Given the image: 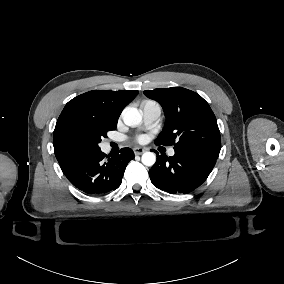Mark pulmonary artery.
I'll return each instance as SVG.
<instances>
[{"label":"pulmonary artery","instance_id":"e3ab8cb5","mask_svg":"<svg viewBox=\"0 0 284 284\" xmlns=\"http://www.w3.org/2000/svg\"><path fill=\"white\" fill-rule=\"evenodd\" d=\"M140 111L142 114V125L144 127L154 126L161 115V106L156 101H144L140 106ZM169 155L174 154V150L170 149L168 151Z\"/></svg>","mask_w":284,"mask_h":284}]
</instances>
